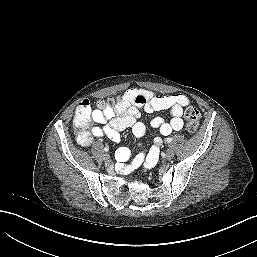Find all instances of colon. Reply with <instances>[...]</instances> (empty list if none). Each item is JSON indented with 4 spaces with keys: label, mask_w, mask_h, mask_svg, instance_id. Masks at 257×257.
<instances>
[{
    "label": "colon",
    "mask_w": 257,
    "mask_h": 257,
    "mask_svg": "<svg viewBox=\"0 0 257 257\" xmlns=\"http://www.w3.org/2000/svg\"><path fill=\"white\" fill-rule=\"evenodd\" d=\"M118 97H111L106 100L99 102V107L102 109L114 108L121 103ZM184 118L186 121V130L189 133H194L198 129L199 120H200V111L195 107H188L185 110ZM91 122V107L90 103L87 100H82L77 107V118L76 126L79 128V131H82L83 128Z\"/></svg>",
    "instance_id": "1"
}]
</instances>
